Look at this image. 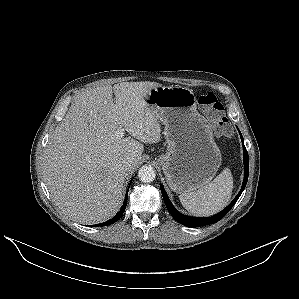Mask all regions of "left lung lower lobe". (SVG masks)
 I'll return each instance as SVG.
<instances>
[{"instance_id":"obj_1","label":"left lung lower lobe","mask_w":299,"mask_h":299,"mask_svg":"<svg viewBox=\"0 0 299 299\" xmlns=\"http://www.w3.org/2000/svg\"><path fill=\"white\" fill-rule=\"evenodd\" d=\"M240 136H241V141L243 144V155H244V180H243V184H242V188L240 190V192L238 193V195L234 198V200L224 209L222 210L220 213L211 216V217H207V218H195V217H189V216H185L182 215L181 213H179L175 207L173 206V204L171 203V201L169 200L167 193L165 192L163 186L161 185V192H162V196L164 199V202L166 204V207L169 211V213L172 215V217L179 222L182 225L188 226V227H200V226H204V225H209V224H213L218 222L221 218H223L229 211L230 209L234 206V204L237 202V200L239 199L240 195L242 194L247 180H248V174H249V157H248V153L247 150L245 148L244 145V140L242 137L241 132L239 131Z\"/></svg>"}]
</instances>
